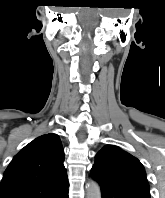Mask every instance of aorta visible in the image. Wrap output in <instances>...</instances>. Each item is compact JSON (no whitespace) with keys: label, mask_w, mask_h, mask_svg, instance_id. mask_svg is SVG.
Listing matches in <instances>:
<instances>
[{"label":"aorta","mask_w":165,"mask_h":198,"mask_svg":"<svg viewBox=\"0 0 165 198\" xmlns=\"http://www.w3.org/2000/svg\"><path fill=\"white\" fill-rule=\"evenodd\" d=\"M86 198H101L100 187L95 181L86 184Z\"/></svg>","instance_id":"aorta-1"}]
</instances>
